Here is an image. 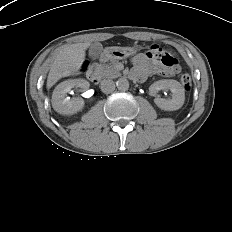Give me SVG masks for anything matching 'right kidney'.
I'll use <instances>...</instances> for the list:
<instances>
[{
	"instance_id": "1",
	"label": "right kidney",
	"mask_w": 232,
	"mask_h": 232,
	"mask_svg": "<svg viewBox=\"0 0 232 232\" xmlns=\"http://www.w3.org/2000/svg\"><path fill=\"white\" fill-rule=\"evenodd\" d=\"M78 87L87 90L89 83L84 79H70L57 85L52 94V106L56 112L63 115H72L83 109L84 100L82 98L69 99V97H66V94L72 88Z\"/></svg>"
}]
</instances>
